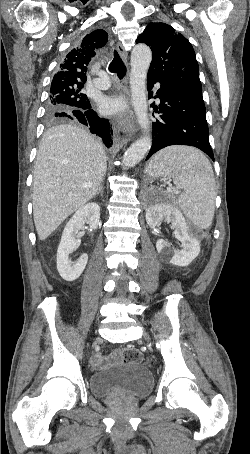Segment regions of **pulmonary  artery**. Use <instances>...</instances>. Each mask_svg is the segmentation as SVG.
<instances>
[{"label": "pulmonary artery", "instance_id": "1", "mask_svg": "<svg viewBox=\"0 0 250 454\" xmlns=\"http://www.w3.org/2000/svg\"><path fill=\"white\" fill-rule=\"evenodd\" d=\"M93 84L96 88L100 90H105L110 87V81L108 77L104 74H99V77L93 80Z\"/></svg>", "mask_w": 250, "mask_h": 454}]
</instances>
